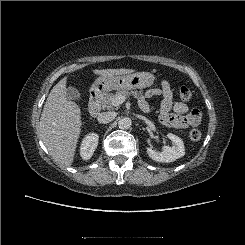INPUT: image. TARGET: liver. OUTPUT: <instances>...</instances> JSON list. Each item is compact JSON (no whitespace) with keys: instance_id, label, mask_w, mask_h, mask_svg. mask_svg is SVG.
<instances>
[{"instance_id":"obj_1","label":"liver","mask_w":245,"mask_h":245,"mask_svg":"<svg viewBox=\"0 0 245 245\" xmlns=\"http://www.w3.org/2000/svg\"><path fill=\"white\" fill-rule=\"evenodd\" d=\"M133 69L93 70L100 76L128 75ZM67 77L61 79L50 91L40 122V138L53 160L61 166H71L81 133V110L66 97Z\"/></svg>"}]
</instances>
